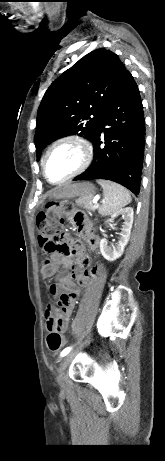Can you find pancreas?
Masks as SVG:
<instances>
[{
	"label": "pancreas",
	"mask_w": 165,
	"mask_h": 461,
	"mask_svg": "<svg viewBox=\"0 0 165 461\" xmlns=\"http://www.w3.org/2000/svg\"><path fill=\"white\" fill-rule=\"evenodd\" d=\"M92 198L93 197H81V198H78L76 200V204L77 206L81 207V208H85L87 210H95L97 209L98 207H96L93 203H92Z\"/></svg>",
	"instance_id": "pancreas-1"
}]
</instances>
